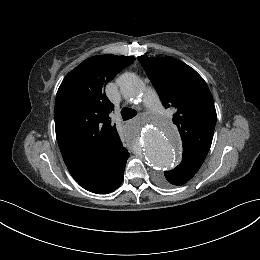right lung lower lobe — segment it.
<instances>
[{"instance_id": "right-lung-lower-lobe-1", "label": "right lung lower lobe", "mask_w": 260, "mask_h": 260, "mask_svg": "<svg viewBox=\"0 0 260 260\" xmlns=\"http://www.w3.org/2000/svg\"><path fill=\"white\" fill-rule=\"evenodd\" d=\"M128 157L129 153L126 151L112 165L104 167L97 173L78 181L79 185L97 194H107L116 190L123 181L124 169Z\"/></svg>"}]
</instances>
